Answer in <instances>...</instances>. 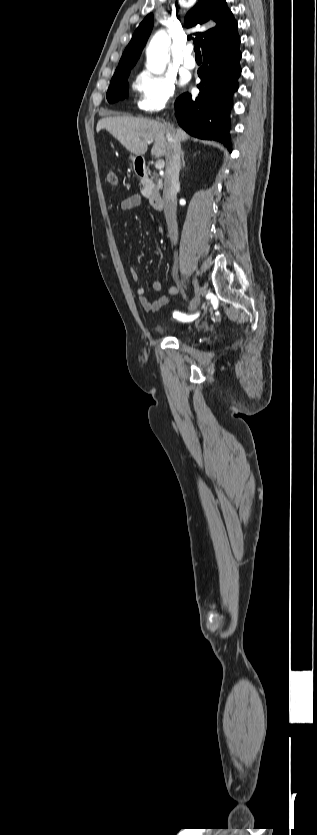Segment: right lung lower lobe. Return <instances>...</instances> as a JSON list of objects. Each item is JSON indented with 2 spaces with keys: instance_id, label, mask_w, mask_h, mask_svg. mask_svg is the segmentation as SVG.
Masks as SVG:
<instances>
[{
  "instance_id": "1",
  "label": "right lung lower lobe",
  "mask_w": 317,
  "mask_h": 835,
  "mask_svg": "<svg viewBox=\"0 0 317 835\" xmlns=\"http://www.w3.org/2000/svg\"><path fill=\"white\" fill-rule=\"evenodd\" d=\"M239 45L238 34L207 45L202 50L204 61L198 70L199 95L192 98L185 93L175 102L178 124L186 132L201 139L220 141L230 151V109L241 74Z\"/></svg>"
}]
</instances>
